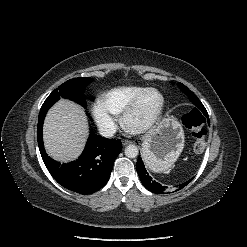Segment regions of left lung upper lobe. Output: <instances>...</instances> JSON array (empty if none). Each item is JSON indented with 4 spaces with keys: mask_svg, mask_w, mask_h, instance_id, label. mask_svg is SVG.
<instances>
[{
    "mask_svg": "<svg viewBox=\"0 0 247 247\" xmlns=\"http://www.w3.org/2000/svg\"><path fill=\"white\" fill-rule=\"evenodd\" d=\"M179 87L181 88V90L187 94L189 96V99L193 102V104L195 105V107H197L198 109H200L203 114L208 117V114L206 112L205 107L203 106V104L201 103V101L198 99V97L192 92L190 91L185 85H183L182 83H179Z\"/></svg>",
    "mask_w": 247,
    "mask_h": 247,
    "instance_id": "5c2ea615",
    "label": "left lung upper lobe"
}]
</instances>
